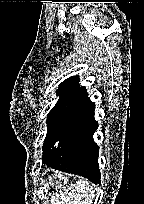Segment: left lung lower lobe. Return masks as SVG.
<instances>
[{
	"label": "left lung lower lobe",
	"mask_w": 144,
	"mask_h": 204,
	"mask_svg": "<svg viewBox=\"0 0 144 204\" xmlns=\"http://www.w3.org/2000/svg\"><path fill=\"white\" fill-rule=\"evenodd\" d=\"M95 104L88 95L69 121L68 133L56 147L43 154V162L50 167L78 174L100 184L99 147L93 140L98 128L94 119Z\"/></svg>",
	"instance_id": "obj_1"
}]
</instances>
